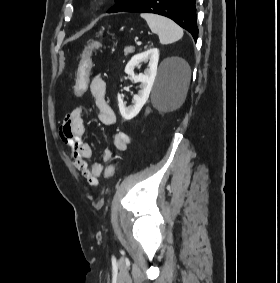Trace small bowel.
<instances>
[{
  "label": "small bowel",
  "instance_id": "obj_1",
  "mask_svg": "<svg viewBox=\"0 0 280 283\" xmlns=\"http://www.w3.org/2000/svg\"><path fill=\"white\" fill-rule=\"evenodd\" d=\"M90 93L94 99L97 108V117L99 122L105 126H112L115 123V114L106 100V83L97 75L90 79ZM85 125L83 120L82 107H76L69 112L60 128V138L69 150V156L77 170L87 180L91 186L98 184V178L103 174L104 165L100 162H94L88 165V160L92 158L93 150L90 144L84 142ZM131 139L125 132H118L114 136V147L117 151L127 150ZM113 159V152L105 149L102 152V161L110 162Z\"/></svg>",
  "mask_w": 280,
  "mask_h": 283
}]
</instances>
